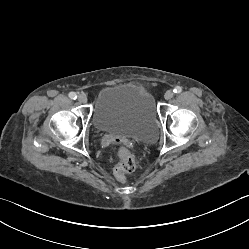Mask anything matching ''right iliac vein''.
I'll return each instance as SVG.
<instances>
[{"instance_id": "obj_1", "label": "right iliac vein", "mask_w": 249, "mask_h": 249, "mask_svg": "<svg viewBox=\"0 0 249 249\" xmlns=\"http://www.w3.org/2000/svg\"><path fill=\"white\" fill-rule=\"evenodd\" d=\"M78 101L80 103H86L87 102V96L85 94H79L78 95Z\"/></svg>"}]
</instances>
